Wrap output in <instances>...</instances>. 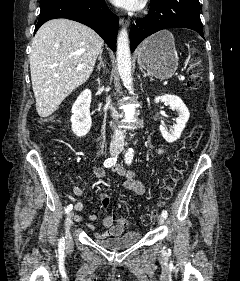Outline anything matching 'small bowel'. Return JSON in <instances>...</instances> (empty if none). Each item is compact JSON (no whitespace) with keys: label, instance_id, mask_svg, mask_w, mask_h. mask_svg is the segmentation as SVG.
I'll return each mask as SVG.
<instances>
[{"label":"small bowel","instance_id":"1","mask_svg":"<svg viewBox=\"0 0 240 281\" xmlns=\"http://www.w3.org/2000/svg\"><path fill=\"white\" fill-rule=\"evenodd\" d=\"M160 152H162V150H160ZM112 170L115 174L124 178L123 185H124L125 189L133 192L134 194H136L138 196L145 195L146 188H145L144 184L142 182L138 181L137 179H135L133 172L126 170L121 165L114 166L112 168ZM93 175L97 179H102V178L105 177L106 171L103 167L95 166V167H93ZM68 178H69V180L72 184L73 193L76 196H83L84 190L81 187L77 186L73 182L71 177H68ZM99 198H100V201H101V204H102L103 208H107L110 205L111 199H110V196L107 193L100 192ZM74 208L77 211H83L84 206L81 202H76L75 205H74ZM96 218H97V216L95 214H90L86 218H83L81 216H76L75 220L76 221H84L89 227H92L90 222L96 220ZM102 223H103V227H104V232L101 233V234L95 233L97 236H100V237L118 236L124 230L123 226H121L119 224H116L114 222V218L111 215L105 216Z\"/></svg>","mask_w":240,"mask_h":281}]
</instances>
